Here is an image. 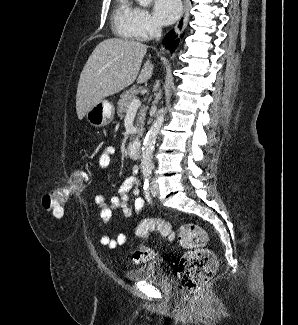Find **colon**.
<instances>
[{"label":"colon","mask_w":298,"mask_h":325,"mask_svg":"<svg viewBox=\"0 0 298 325\" xmlns=\"http://www.w3.org/2000/svg\"><path fill=\"white\" fill-rule=\"evenodd\" d=\"M88 180L87 170H75L70 185L52 189L44 194L43 207L52 211L57 217L63 216L69 196L85 187ZM152 231L160 233L169 240L177 239L179 244L186 249L178 265L177 277L186 297L197 296L213 277L217 268L215 255L206 248L208 238L205 230L196 224H185L175 232L165 219L147 218L137 225L135 234L139 238H146ZM153 258L154 252L145 245L136 246L132 251L134 263L147 262Z\"/></svg>","instance_id":"obj_1"}]
</instances>
